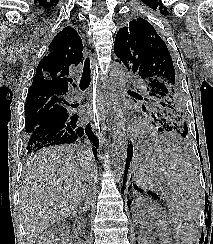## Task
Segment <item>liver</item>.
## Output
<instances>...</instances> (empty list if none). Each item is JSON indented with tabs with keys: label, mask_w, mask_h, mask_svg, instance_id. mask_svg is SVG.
Segmentation results:
<instances>
[{
	"label": "liver",
	"mask_w": 213,
	"mask_h": 244,
	"mask_svg": "<svg viewBox=\"0 0 213 244\" xmlns=\"http://www.w3.org/2000/svg\"><path fill=\"white\" fill-rule=\"evenodd\" d=\"M91 154L72 145L43 148L26 164L20 207L28 244L84 201Z\"/></svg>",
	"instance_id": "obj_1"
}]
</instances>
